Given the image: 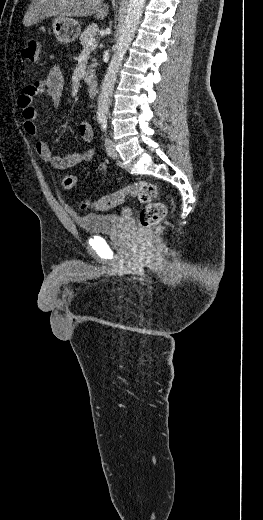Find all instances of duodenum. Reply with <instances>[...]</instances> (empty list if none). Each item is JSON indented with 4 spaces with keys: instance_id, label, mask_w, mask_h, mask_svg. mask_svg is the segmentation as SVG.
<instances>
[{
    "instance_id": "410a0bca",
    "label": "duodenum",
    "mask_w": 263,
    "mask_h": 520,
    "mask_svg": "<svg viewBox=\"0 0 263 520\" xmlns=\"http://www.w3.org/2000/svg\"><path fill=\"white\" fill-rule=\"evenodd\" d=\"M89 96L94 97L98 93V83L95 79L91 78L87 82Z\"/></svg>"
}]
</instances>
